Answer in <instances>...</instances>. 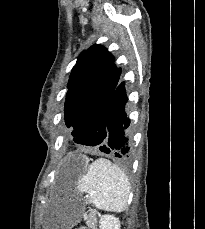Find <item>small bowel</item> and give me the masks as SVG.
I'll use <instances>...</instances> for the list:
<instances>
[{"label":"small bowel","mask_w":205,"mask_h":229,"mask_svg":"<svg viewBox=\"0 0 205 229\" xmlns=\"http://www.w3.org/2000/svg\"><path fill=\"white\" fill-rule=\"evenodd\" d=\"M78 229H87L86 227H80V228H78Z\"/></svg>","instance_id":"obj_1"}]
</instances>
